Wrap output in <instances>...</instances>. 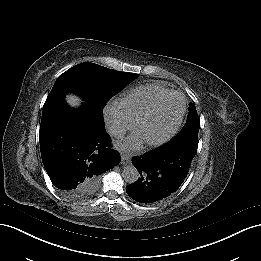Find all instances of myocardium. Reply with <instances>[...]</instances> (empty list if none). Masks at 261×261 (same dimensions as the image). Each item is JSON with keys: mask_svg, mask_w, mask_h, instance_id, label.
Returning a JSON list of instances; mask_svg holds the SVG:
<instances>
[{"mask_svg": "<svg viewBox=\"0 0 261 261\" xmlns=\"http://www.w3.org/2000/svg\"><path fill=\"white\" fill-rule=\"evenodd\" d=\"M176 98H180V100L182 101V110H181L180 116H179L178 120L176 121V123L174 124V126L170 130H168L165 134H163L157 138L147 139V138L140 137L138 135L137 131H138V127H139V124L142 121V119L148 115H153V114L165 109ZM186 109H187L186 98L182 94H179V93L172 94L169 98H167L166 100L157 104L152 110L144 113L140 118H138L135 121V123L133 124L132 129H131L130 139H132L134 141L135 146L137 148H141L143 146H156V145H160V144L166 142L177 132V130L181 126L185 113H186Z\"/></svg>", "mask_w": 261, "mask_h": 261, "instance_id": "f54148a6", "label": "myocardium"}]
</instances>
